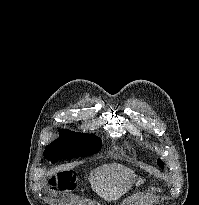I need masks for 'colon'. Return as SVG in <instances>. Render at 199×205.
<instances>
[{"mask_svg": "<svg viewBox=\"0 0 199 205\" xmlns=\"http://www.w3.org/2000/svg\"><path fill=\"white\" fill-rule=\"evenodd\" d=\"M73 181V173L70 171H64L50 177L48 184L52 190H56L58 188L63 191H68L72 189Z\"/></svg>", "mask_w": 199, "mask_h": 205, "instance_id": "colon-1", "label": "colon"}]
</instances>
